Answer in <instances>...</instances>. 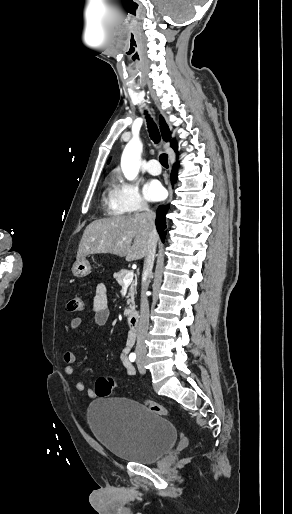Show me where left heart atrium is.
I'll return each instance as SVG.
<instances>
[{"label":"left heart atrium","mask_w":292,"mask_h":514,"mask_svg":"<svg viewBox=\"0 0 292 514\" xmlns=\"http://www.w3.org/2000/svg\"><path fill=\"white\" fill-rule=\"evenodd\" d=\"M145 194L149 200H160L164 195V189L157 181L149 182L145 187Z\"/></svg>","instance_id":"obj_1"}]
</instances>
